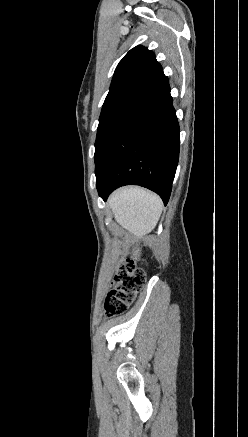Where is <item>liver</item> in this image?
<instances>
[{
	"mask_svg": "<svg viewBox=\"0 0 248 437\" xmlns=\"http://www.w3.org/2000/svg\"><path fill=\"white\" fill-rule=\"evenodd\" d=\"M116 222L136 238H142L157 225L162 212L160 197L140 187L122 188L108 199ZM140 250L135 249L132 258L139 259Z\"/></svg>",
	"mask_w": 248,
	"mask_h": 437,
	"instance_id": "6515ba94",
	"label": "liver"
}]
</instances>
